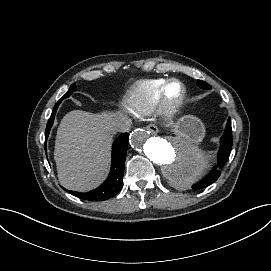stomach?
I'll list each match as a JSON object with an SVG mask.
<instances>
[{
  "mask_svg": "<svg viewBox=\"0 0 271 271\" xmlns=\"http://www.w3.org/2000/svg\"><path fill=\"white\" fill-rule=\"evenodd\" d=\"M174 132L198 142L204 135V126L197 118L186 116L177 121Z\"/></svg>",
  "mask_w": 271,
  "mask_h": 271,
  "instance_id": "obj_1",
  "label": "stomach"
}]
</instances>
